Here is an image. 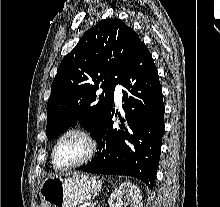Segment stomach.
Returning a JSON list of instances; mask_svg holds the SVG:
<instances>
[{"mask_svg": "<svg viewBox=\"0 0 220 207\" xmlns=\"http://www.w3.org/2000/svg\"><path fill=\"white\" fill-rule=\"evenodd\" d=\"M100 189L101 181L90 174L49 177L40 188V207H76L90 201Z\"/></svg>", "mask_w": 220, "mask_h": 207, "instance_id": "stomach-1", "label": "stomach"}]
</instances>
